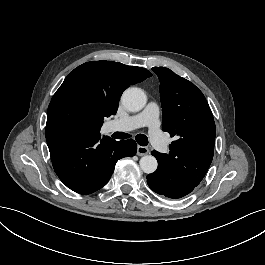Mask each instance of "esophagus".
<instances>
[{"mask_svg": "<svg viewBox=\"0 0 265 265\" xmlns=\"http://www.w3.org/2000/svg\"><path fill=\"white\" fill-rule=\"evenodd\" d=\"M149 149L148 147H144V146H137V155L138 156H144L146 154H148Z\"/></svg>", "mask_w": 265, "mask_h": 265, "instance_id": "1", "label": "esophagus"}]
</instances>
